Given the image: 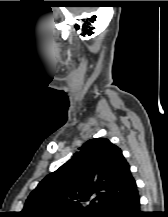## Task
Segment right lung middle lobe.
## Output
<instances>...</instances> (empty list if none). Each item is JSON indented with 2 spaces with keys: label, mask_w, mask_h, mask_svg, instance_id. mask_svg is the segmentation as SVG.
<instances>
[{
  "label": "right lung middle lobe",
  "mask_w": 168,
  "mask_h": 217,
  "mask_svg": "<svg viewBox=\"0 0 168 217\" xmlns=\"http://www.w3.org/2000/svg\"><path fill=\"white\" fill-rule=\"evenodd\" d=\"M55 217H90L88 215H57Z\"/></svg>",
  "instance_id": "1"
}]
</instances>
